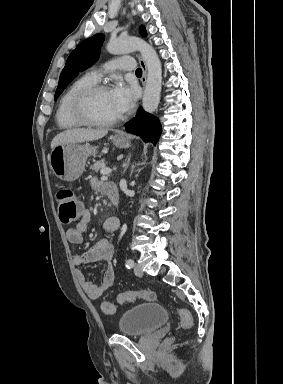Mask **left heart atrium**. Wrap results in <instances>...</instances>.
<instances>
[{
	"label": "left heart atrium",
	"instance_id": "left-heart-atrium-1",
	"mask_svg": "<svg viewBox=\"0 0 283 384\" xmlns=\"http://www.w3.org/2000/svg\"><path fill=\"white\" fill-rule=\"evenodd\" d=\"M109 94L120 115L131 110L136 96L135 88L127 87L123 83L118 82L109 89Z\"/></svg>",
	"mask_w": 283,
	"mask_h": 384
}]
</instances>
